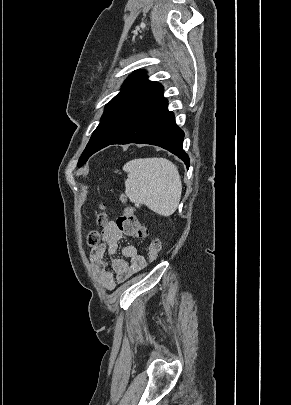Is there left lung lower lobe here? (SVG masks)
<instances>
[{"label": "left lung lower lobe", "instance_id": "obj_1", "mask_svg": "<svg viewBox=\"0 0 291 405\" xmlns=\"http://www.w3.org/2000/svg\"><path fill=\"white\" fill-rule=\"evenodd\" d=\"M184 132L176 125L173 112L168 111V101L163 87L156 83L139 103L124 132L111 144H151L162 147L184 161L190 162L183 150Z\"/></svg>", "mask_w": 291, "mask_h": 405}]
</instances>
